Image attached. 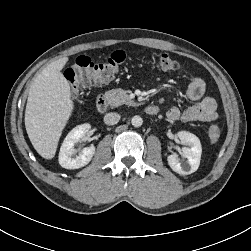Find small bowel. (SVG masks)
Masks as SVG:
<instances>
[{"mask_svg":"<svg viewBox=\"0 0 251 251\" xmlns=\"http://www.w3.org/2000/svg\"><path fill=\"white\" fill-rule=\"evenodd\" d=\"M191 81L187 88V97L195 101L193 105L181 110L177 106L171 107L166 115L171 121L185 123L202 121L209 122L217 118V104L213 97L205 95V82L197 75L190 73Z\"/></svg>","mask_w":251,"mask_h":251,"instance_id":"obj_1","label":"small bowel"}]
</instances>
